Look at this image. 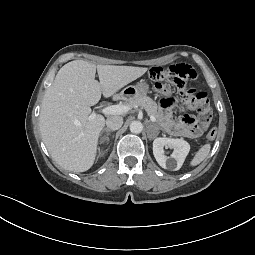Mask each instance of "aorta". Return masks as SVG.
Masks as SVG:
<instances>
[{"mask_svg": "<svg viewBox=\"0 0 255 255\" xmlns=\"http://www.w3.org/2000/svg\"><path fill=\"white\" fill-rule=\"evenodd\" d=\"M143 130V125L139 121H133L130 124V131L134 134H139Z\"/></svg>", "mask_w": 255, "mask_h": 255, "instance_id": "aorta-1", "label": "aorta"}]
</instances>
